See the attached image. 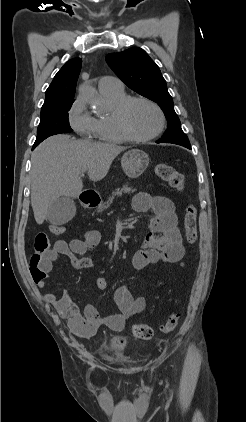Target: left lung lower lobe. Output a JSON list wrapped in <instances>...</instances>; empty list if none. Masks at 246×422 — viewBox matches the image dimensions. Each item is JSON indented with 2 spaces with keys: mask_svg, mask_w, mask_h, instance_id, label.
Instances as JSON below:
<instances>
[{
  "mask_svg": "<svg viewBox=\"0 0 246 422\" xmlns=\"http://www.w3.org/2000/svg\"><path fill=\"white\" fill-rule=\"evenodd\" d=\"M186 148H189V149H191V146H190V145H188V146H186Z\"/></svg>",
  "mask_w": 246,
  "mask_h": 422,
  "instance_id": "obj_1",
  "label": "left lung lower lobe"
}]
</instances>
